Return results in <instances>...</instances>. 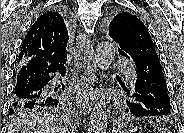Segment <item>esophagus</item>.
<instances>
[{
	"mask_svg": "<svg viewBox=\"0 0 184 133\" xmlns=\"http://www.w3.org/2000/svg\"><path fill=\"white\" fill-rule=\"evenodd\" d=\"M78 46V60L80 61V67L85 70L84 79L86 80L85 91L79 101V107L82 113L89 114L94 99L101 95V92L98 89H95V91H93L92 88L89 89V86L93 85L96 80L95 72L97 66L94 59L92 42L85 34L80 35Z\"/></svg>",
	"mask_w": 184,
	"mask_h": 133,
	"instance_id": "esophagus-1",
	"label": "esophagus"
}]
</instances>
